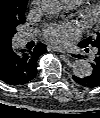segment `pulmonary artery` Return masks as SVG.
<instances>
[{
	"label": "pulmonary artery",
	"mask_w": 100,
	"mask_h": 118,
	"mask_svg": "<svg viewBox=\"0 0 100 118\" xmlns=\"http://www.w3.org/2000/svg\"><path fill=\"white\" fill-rule=\"evenodd\" d=\"M67 7L69 9H72V8H75L76 7V4H73V3H67ZM31 38V33H24L23 35V40L24 41H27Z\"/></svg>",
	"instance_id": "pulmonary-artery-1"
}]
</instances>
